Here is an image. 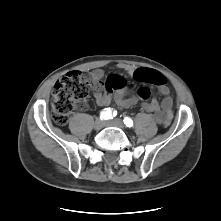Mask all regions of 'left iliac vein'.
<instances>
[{
	"mask_svg": "<svg viewBox=\"0 0 221 221\" xmlns=\"http://www.w3.org/2000/svg\"><path fill=\"white\" fill-rule=\"evenodd\" d=\"M106 125L107 126H116V127H119V128H124V124H123L122 120H120V119H114V120L107 121Z\"/></svg>",
	"mask_w": 221,
	"mask_h": 221,
	"instance_id": "obj_1",
	"label": "left iliac vein"
}]
</instances>
